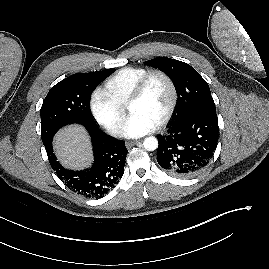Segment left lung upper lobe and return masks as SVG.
<instances>
[{"label": "left lung upper lobe", "mask_w": 269, "mask_h": 269, "mask_svg": "<svg viewBox=\"0 0 269 269\" xmlns=\"http://www.w3.org/2000/svg\"><path fill=\"white\" fill-rule=\"evenodd\" d=\"M144 64L160 69L173 81L178 95L175 121L195 111L216 110L207 82L189 64L166 57H157Z\"/></svg>", "instance_id": "5c2ea615"}]
</instances>
